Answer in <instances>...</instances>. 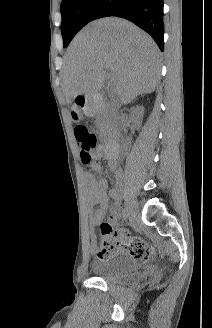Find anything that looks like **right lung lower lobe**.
Masks as SVG:
<instances>
[{"label": "right lung lower lobe", "instance_id": "98d812e1", "mask_svg": "<svg viewBox=\"0 0 212 328\" xmlns=\"http://www.w3.org/2000/svg\"><path fill=\"white\" fill-rule=\"evenodd\" d=\"M112 15L130 20L145 30L163 51V0H102L92 20Z\"/></svg>", "mask_w": 212, "mask_h": 328}]
</instances>
